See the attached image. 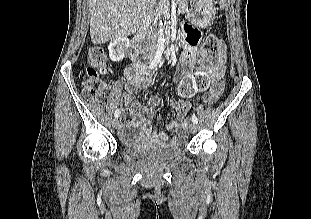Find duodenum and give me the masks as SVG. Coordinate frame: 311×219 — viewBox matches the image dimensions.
<instances>
[{"label":"duodenum","mask_w":311,"mask_h":219,"mask_svg":"<svg viewBox=\"0 0 311 219\" xmlns=\"http://www.w3.org/2000/svg\"><path fill=\"white\" fill-rule=\"evenodd\" d=\"M145 29H146L145 27H142L140 31L135 35V37L133 38L131 42V45L137 54L142 48V44L144 41V35H145ZM167 41L169 42V39H167ZM135 60L137 59L135 58Z\"/></svg>","instance_id":"obj_1"}]
</instances>
